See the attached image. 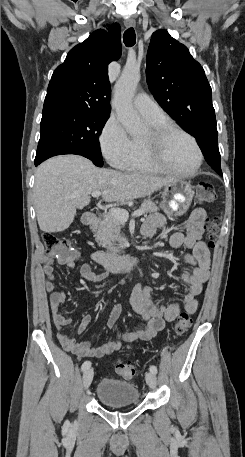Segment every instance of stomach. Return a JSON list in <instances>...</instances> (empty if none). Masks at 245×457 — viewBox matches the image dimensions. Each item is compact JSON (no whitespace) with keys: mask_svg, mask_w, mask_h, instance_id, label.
I'll use <instances>...</instances> for the list:
<instances>
[{"mask_svg":"<svg viewBox=\"0 0 245 457\" xmlns=\"http://www.w3.org/2000/svg\"><path fill=\"white\" fill-rule=\"evenodd\" d=\"M194 190L190 182L175 178L172 182L165 184L163 190V210L169 216H181L188 210Z\"/></svg>","mask_w":245,"mask_h":457,"instance_id":"0dacf381","label":"stomach"}]
</instances>
